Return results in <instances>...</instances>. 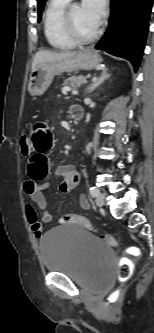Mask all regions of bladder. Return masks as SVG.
<instances>
[{
    "label": "bladder",
    "instance_id": "obj_1",
    "mask_svg": "<svg viewBox=\"0 0 154 333\" xmlns=\"http://www.w3.org/2000/svg\"><path fill=\"white\" fill-rule=\"evenodd\" d=\"M39 249L47 271L63 273L84 285L111 282L116 261L113 249L79 224L48 230Z\"/></svg>",
    "mask_w": 154,
    "mask_h": 333
}]
</instances>
